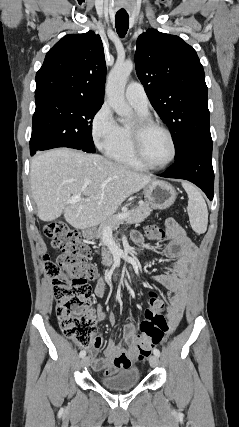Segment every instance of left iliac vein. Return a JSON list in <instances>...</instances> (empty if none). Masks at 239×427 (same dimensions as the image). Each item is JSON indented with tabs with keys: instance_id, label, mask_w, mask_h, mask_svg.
<instances>
[{
	"instance_id": "1",
	"label": "left iliac vein",
	"mask_w": 239,
	"mask_h": 427,
	"mask_svg": "<svg viewBox=\"0 0 239 427\" xmlns=\"http://www.w3.org/2000/svg\"><path fill=\"white\" fill-rule=\"evenodd\" d=\"M149 364L151 367L155 368L159 364V359L156 355H153L149 358Z\"/></svg>"
}]
</instances>
